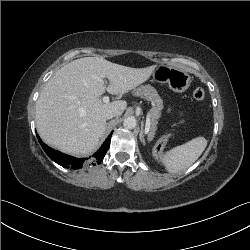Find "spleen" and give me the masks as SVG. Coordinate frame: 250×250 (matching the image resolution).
I'll return each mask as SVG.
<instances>
[{
	"mask_svg": "<svg viewBox=\"0 0 250 250\" xmlns=\"http://www.w3.org/2000/svg\"><path fill=\"white\" fill-rule=\"evenodd\" d=\"M207 146L204 137H196L185 144L174 147L158 157L168 172L177 173L190 167L203 153Z\"/></svg>",
	"mask_w": 250,
	"mask_h": 250,
	"instance_id": "1",
	"label": "spleen"
}]
</instances>
